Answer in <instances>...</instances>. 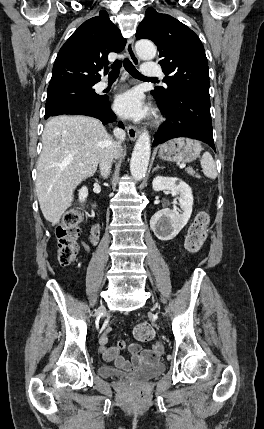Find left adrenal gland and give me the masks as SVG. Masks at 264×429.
I'll return each mask as SVG.
<instances>
[{
	"label": "left adrenal gland",
	"mask_w": 264,
	"mask_h": 429,
	"mask_svg": "<svg viewBox=\"0 0 264 429\" xmlns=\"http://www.w3.org/2000/svg\"><path fill=\"white\" fill-rule=\"evenodd\" d=\"M159 168L163 169L164 167H161V166L157 165V166L153 169V172H154L155 170L159 169Z\"/></svg>",
	"instance_id": "1"
}]
</instances>
